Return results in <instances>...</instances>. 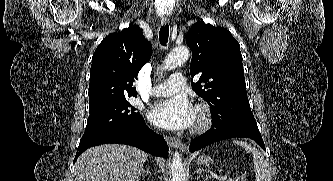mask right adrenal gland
Masks as SVG:
<instances>
[{
	"label": "right adrenal gland",
	"instance_id": "2a0ac1e0",
	"mask_svg": "<svg viewBox=\"0 0 333 181\" xmlns=\"http://www.w3.org/2000/svg\"><path fill=\"white\" fill-rule=\"evenodd\" d=\"M142 173H143V175H142V179L143 180H145V176H147L148 174H152L149 170H142Z\"/></svg>",
	"mask_w": 333,
	"mask_h": 181
}]
</instances>
